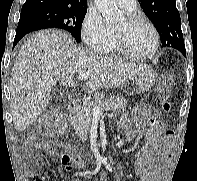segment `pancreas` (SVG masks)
I'll list each match as a JSON object with an SVG mask.
<instances>
[{"label":"pancreas","instance_id":"pancreas-1","mask_svg":"<svg viewBox=\"0 0 197 181\" xmlns=\"http://www.w3.org/2000/svg\"><path fill=\"white\" fill-rule=\"evenodd\" d=\"M103 96V93H95L94 100L83 104L81 111L71 118V124L75 130V134L81 140H87V135L94 116V107H100L103 110L108 109L112 111H118L126 107L127 101L122 96H112L107 99H104ZM103 110L102 112H104Z\"/></svg>","mask_w":197,"mask_h":181}]
</instances>
